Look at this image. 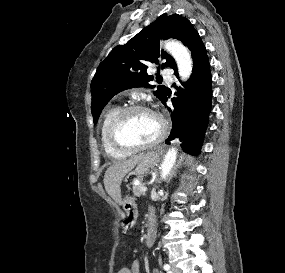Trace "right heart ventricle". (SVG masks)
<instances>
[{
    "label": "right heart ventricle",
    "instance_id": "obj_1",
    "mask_svg": "<svg viewBox=\"0 0 285 273\" xmlns=\"http://www.w3.org/2000/svg\"><path fill=\"white\" fill-rule=\"evenodd\" d=\"M119 110H120L119 106H112L108 108L102 116L100 129H99L100 142L102 148L108 156L113 158H123L127 155L126 152H122L114 148L109 142L108 138V129L110 123Z\"/></svg>",
    "mask_w": 285,
    "mask_h": 273
}]
</instances>
